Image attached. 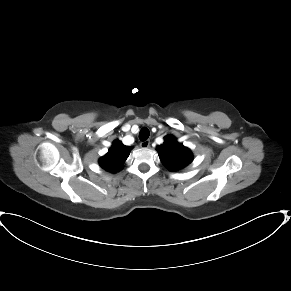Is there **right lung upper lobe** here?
<instances>
[{"label": "right lung upper lobe", "mask_w": 291, "mask_h": 291, "mask_svg": "<svg viewBox=\"0 0 291 291\" xmlns=\"http://www.w3.org/2000/svg\"><path fill=\"white\" fill-rule=\"evenodd\" d=\"M132 147L122 144L121 141L115 140L109 152L99 159V164L106 171L116 173L123 168V164Z\"/></svg>", "instance_id": "cb5924a9"}]
</instances>
